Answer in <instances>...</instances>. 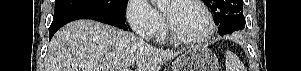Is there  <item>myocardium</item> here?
<instances>
[{"instance_id": "1", "label": "myocardium", "mask_w": 301, "mask_h": 71, "mask_svg": "<svg viewBox=\"0 0 301 71\" xmlns=\"http://www.w3.org/2000/svg\"><path fill=\"white\" fill-rule=\"evenodd\" d=\"M178 1L189 2V3L197 6L198 8H200L203 11V13L205 14L207 21H208L207 30L202 36H200L198 38L183 37L172 28L167 17L163 13L164 31H165L166 35L174 42H177V43H180L183 45L196 46V45H201V44L206 43L208 40H210L212 38V36L214 35V32H215V28H216L215 20H214L212 13L207 8V6L201 1H197V0H178Z\"/></svg>"}]
</instances>
